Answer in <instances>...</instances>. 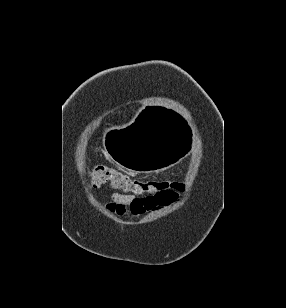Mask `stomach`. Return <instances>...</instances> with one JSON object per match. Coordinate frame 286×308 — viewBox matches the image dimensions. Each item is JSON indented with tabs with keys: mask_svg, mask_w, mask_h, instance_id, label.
I'll return each instance as SVG.
<instances>
[{
	"mask_svg": "<svg viewBox=\"0 0 286 308\" xmlns=\"http://www.w3.org/2000/svg\"><path fill=\"white\" fill-rule=\"evenodd\" d=\"M140 107V118L126 122H104L105 154L113 164L136 173H163L173 168L180 153H192L196 142H190L182 112H166L165 107H153V100Z\"/></svg>",
	"mask_w": 286,
	"mask_h": 308,
	"instance_id": "1",
	"label": "stomach"
}]
</instances>
